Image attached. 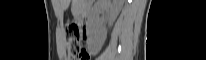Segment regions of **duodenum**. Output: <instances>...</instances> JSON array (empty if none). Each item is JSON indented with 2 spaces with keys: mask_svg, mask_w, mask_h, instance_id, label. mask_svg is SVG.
I'll use <instances>...</instances> for the list:
<instances>
[{
  "mask_svg": "<svg viewBox=\"0 0 206 60\" xmlns=\"http://www.w3.org/2000/svg\"><path fill=\"white\" fill-rule=\"evenodd\" d=\"M89 17V7L87 4H84L82 7V13L80 16V23H79V28H86V22L88 20Z\"/></svg>",
  "mask_w": 206,
  "mask_h": 60,
  "instance_id": "1",
  "label": "duodenum"
}]
</instances>
